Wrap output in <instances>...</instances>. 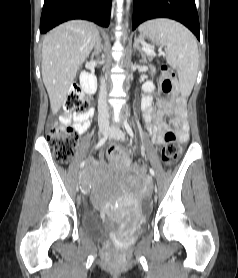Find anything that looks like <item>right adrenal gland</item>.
<instances>
[{
	"mask_svg": "<svg viewBox=\"0 0 238 278\" xmlns=\"http://www.w3.org/2000/svg\"><path fill=\"white\" fill-rule=\"evenodd\" d=\"M102 39L99 37L95 47H94V52L92 53V57H94V55H97L101 49H102V43H101Z\"/></svg>",
	"mask_w": 238,
	"mask_h": 278,
	"instance_id": "obj_1",
	"label": "right adrenal gland"
}]
</instances>
